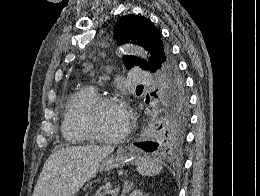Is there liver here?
I'll return each mask as SVG.
<instances>
[{
	"mask_svg": "<svg viewBox=\"0 0 260 196\" xmlns=\"http://www.w3.org/2000/svg\"><path fill=\"white\" fill-rule=\"evenodd\" d=\"M113 146H72L61 148L45 162L33 196H74L98 174L103 158Z\"/></svg>",
	"mask_w": 260,
	"mask_h": 196,
	"instance_id": "1",
	"label": "liver"
}]
</instances>
